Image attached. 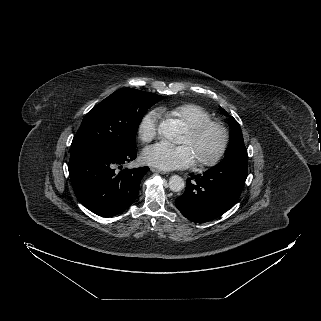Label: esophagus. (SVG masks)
Returning <instances> with one entry per match:
<instances>
[{"label":"esophagus","mask_w":321,"mask_h":321,"mask_svg":"<svg viewBox=\"0 0 321 321\" xmlns=\"http://www.w3.org/2000/svg\"><path fill=\"white\" fill-rule=\"evenodd\" d=\"M150 170H151L152 172H155V173H158V174H162V175H167V174H168L167 172L158 170V169H156V168H151Z\"/></svg>","instance_id":"34e87169"}]
</instances>
